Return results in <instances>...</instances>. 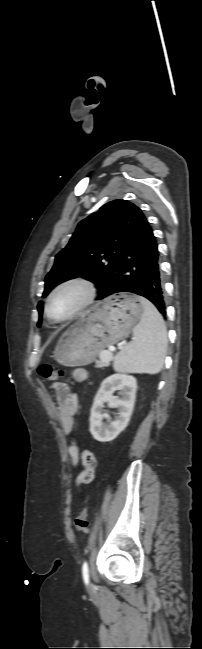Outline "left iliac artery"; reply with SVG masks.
Here are the masks:
<instances>
[{"label":"left iliac artery","instance_id":"1","mask_svg":"<svg viewBox=\"0 0 202 649\" xmlns=\"http://www.w3.org/2000/svg\"><path fill=\"white\" fill-rule=\"evenodd\" d=\"M82 575H83V579H84L85 584H88V582H89V568H88V564H87L86 561L83 563V566H82Z\"/></svg>","mask_w":202,"mask_h":649}]
</instances>
